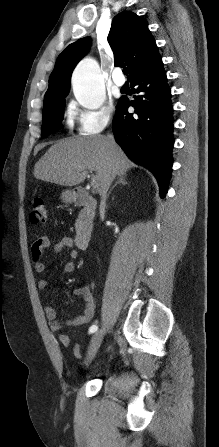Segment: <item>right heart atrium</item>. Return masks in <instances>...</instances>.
Listing matches in <instances>:
<instances>
[{
	"label": "right heart atrium",
	"mask_w": 219,
	"mask_h": 447,
	"mask_svg": "<svg viewBox=\"0 0 219 447\" xmlns=\"http://www.w3.org/2000/svg\"><path fill=\"white\" fill-rule=\"evenodd\" d=\"M99 107L93 111L79 113V131L82 135H92L102 132L112 121L114 107L111 103L103 104L99 101Z\"/></svg>",
	"instance_id": "1"
}]
</instances>
